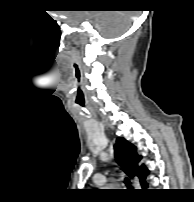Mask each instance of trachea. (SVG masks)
<instances>
[{
  "label": "trachea",
  "instance_id": "trachea-1",
  "mask_svg": "<svg viewBox=\"0 0 194 202\" xmlns=\"http://www.w3.org/2000/svg\"><path fill=\"white\" fill-rule=\"evenodd\" d=\"M125 183L128 185L130 184V181L128 179H125Z\"/></svg>",
  "mask_w": 194,
  "mask_h": 202
}]
</instances>
